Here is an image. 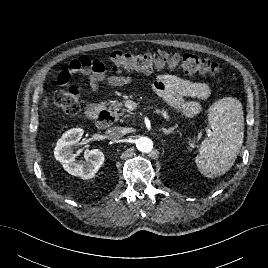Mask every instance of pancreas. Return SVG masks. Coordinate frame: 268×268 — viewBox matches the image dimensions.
<instances>
[{
  "instance_id": "cf45deb5",
  "label": "pancreas",
  "mask_w": 268,
  "mask_h": 268,
  "mask_svg": "<svg viewBox=\"0 0 268 268\" xmlns=\"http://www.w3.org/2000/svg\"><path fill=\"white\" fill-rule=\"evenodd\" d=\"M107 105L109 106L108 109L110 110L115 120H118L121 116L123 118H129L133 115L130 110L124 108L123 102L111 100L107 103Z\"/></svg>"
}]
</instances>
